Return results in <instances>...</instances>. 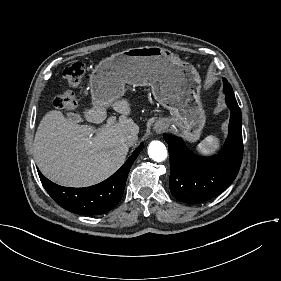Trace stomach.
<instances>
[{"mask_svg":"<svg viewBox=\"0 0 281 281\" xmlns=\"http://www.w3.org/2000/svg\"><path fill=\"white\" fill-rule=\"evenodd\" d=\"M200 75L193 65L158 46L130 48L103 59L90 75L94 105L112 104L125 84L150 86L154 99L172 113L162 122L190 142L199 139L206 116L200 100Z\"/></svg>","mask_w":281,"mask_h":281,"instance_id":"1","label":"stomach"}]
</instances>
